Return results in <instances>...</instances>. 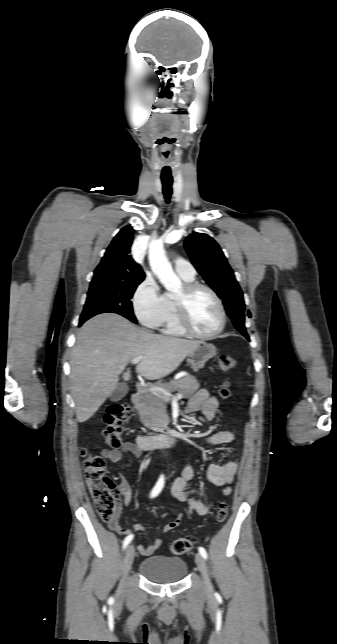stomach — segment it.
<instances>
[{
    "label": "stomach",
    "mask_w": 337,
    "mask_h": 644,
    "mask_svg": "<svg viewBox=\"0 0 337 644\" xmlns=\"http://www.w3.org/2000/svg\"><path fill=\"white\" fill-rule=\"evenodd\" d=\"M216 353L217 349L213 344L201 341L199 346L188 355V361L194 369L198 370L203 368L205 363Z\"/></svg>",
    "instance_id": "1"
}]
</instances>
